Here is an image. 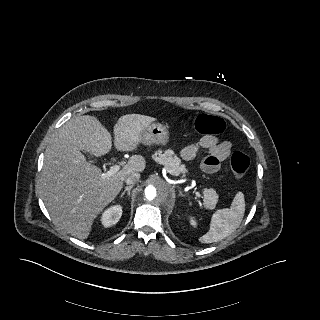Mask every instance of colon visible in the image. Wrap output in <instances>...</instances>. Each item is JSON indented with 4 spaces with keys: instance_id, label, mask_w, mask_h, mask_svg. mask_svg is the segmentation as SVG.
Returning <instances> with one entry per match:
<instances>
[{
    "instance_id": "obj_1",
    "label": "colon",
    "mask_w": 320,
    "mask_h": 320,
    "mask_svg": "<svg viewBox=\"0 0 320 320\" xmlns=\"http://www.w3.org/2000/svg\"><path fill=\"white\" fill-rule=\"evenodd\" d=\"M185 121L203 134L215 135L225 130V121L216 115L201 114L188 116ZM229 165L234 177L240 179L248 171L250 160L247 155L237 151L232 154Z\"/></svg>"
}]
</instances>
